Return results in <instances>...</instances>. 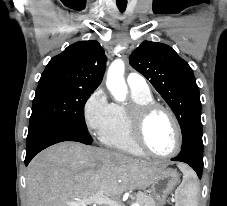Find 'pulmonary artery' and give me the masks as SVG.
Instances as JSON below:
<instances>
[{"mask_svg":"<svg viewBox=\"0 0 227 206\" xmlns=\"http://www.w3.org/2000/svg\"><path fill=\"white\" fill-rule=\"evenodd\" d=\"M127 84L131 91L146 93L149 92V86L145 78L135 72H131L126 77Z\"/></svg>","mask_w":227,"mask_h":206,"instance_id":"e3ab8cb5","label":"pulmonary artery"}]
</instances>
